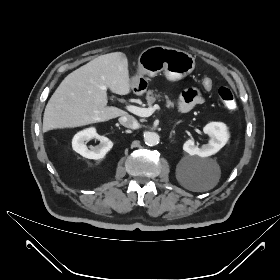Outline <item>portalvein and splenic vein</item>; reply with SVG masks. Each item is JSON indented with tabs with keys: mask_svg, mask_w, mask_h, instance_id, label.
<instances>
[{
	"mask_svg": "<svg viewBox=\"0 0 280 280\" xmlns=\"http://www.w3.org/2000/svg\"><path fill=\"white\" fill-rule=\"evenodd\" d=\"M126 109L131 113L140 116V117H149L151 116L156 110H159V105H154L148 108H141L135 105H127Z\"/></svg>",
	"mask_w": 280,
	"mask_h": 280,
	"instance_id": "obj_1",
	"label": "portal vein and splenic vein"
}]
</instances>
